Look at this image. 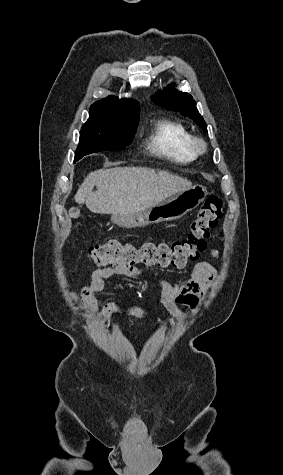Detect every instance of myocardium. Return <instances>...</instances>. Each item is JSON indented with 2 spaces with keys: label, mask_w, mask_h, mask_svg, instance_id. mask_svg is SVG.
Returning <instances> with one entry per match:
<instances>
[{
  "label": "myocardium",
  "mask_w": 283,
  "mask_h": 475,
  "mask_svg": "<svg viewBox=\"0 0 283 475\" xmlns=\"http://www.w3.org/2000/svg\"><path fill=\"white\" fill-rule=\"evenodd\" d=\"M189 147L195 154L200 155L206 151L207 145H206V142L201 137L197 135H191L190 140H189ZM163 155L167 157H173L174 151L167 148L164 150Z\"/></svg>",
  "instance_id": "myocardium-1"
}]
</instances>
